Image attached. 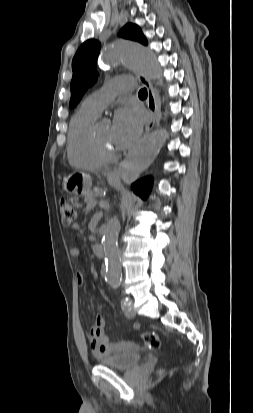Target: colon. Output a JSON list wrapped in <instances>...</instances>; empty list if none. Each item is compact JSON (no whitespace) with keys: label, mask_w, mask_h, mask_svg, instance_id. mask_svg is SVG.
<instances>
[{"label":"colon","mask_w":253,"mask_h":413,"mask_svg":"<svg viewBox=\"0 0 253 413\" xmlns=\"http://www.w3.org/2000/svg\"><path fill=\"white\" fill-rule=\"evenodd\" d=\"M60 215L65 225L72 224L76 219V210L67 200L61 199L59 203ZM141 341L150 348H158L161 344L159 336L154 332H144L140 335Z\"/></svg>","instance_id":"5ec220e1"}]
</instances>
